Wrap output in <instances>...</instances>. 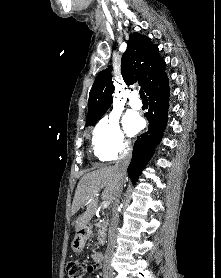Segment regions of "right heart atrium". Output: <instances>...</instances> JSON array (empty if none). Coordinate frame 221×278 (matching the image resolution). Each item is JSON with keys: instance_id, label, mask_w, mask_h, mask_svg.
Wrapping results in <instances>:
<instances>
[{"instance_id": "right-heart-atrium-1", "label": "right heart atrium", "mask_w": 221, "mask_h": 278, "mask_svg": "<svg viewBox=\"0 0 221 278\" xmlns=\"http://www.w3.org/2000/svg\"><path fill=\"white\" fill-rule=\"evenodd\" d=\"M94 154L102 161H112L131 150V142L123 132L119 118L104 116L95 126L92 136Z\"/></svg>"}]
</instances>
